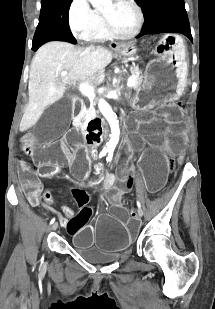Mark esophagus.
<instances>
[{
	"mask_svg": "<svg viewBox=\"0 0 215 309\" xmlns=\"http://www.w3.org/2000/svg\"><path fill=\"white\" fill-rule=\"evenodd\" d=\"M121 46V44H118L117 42H111L110 47L115 49L117 47Z\"/></svg>",
	"mask_w": 215,
	"mask_h": 309,
	"instance_id": "1",
	"label": "esophagus"
}]
</instances>
